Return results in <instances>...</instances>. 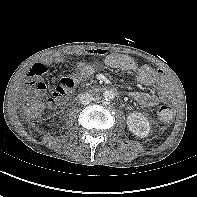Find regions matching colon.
<instances>
[{
    "instance_id": "obj_1",
    "label": "colon",
    "mask_w": 197,
    "mask_h": 197,
    "mask_svg": "<svg viewBox=\"0 0 197 197\" xmlns=\"http://www.w3.org/2000/svg\"><path fill=\"white\" fill-rule=\"evenodd\" d=\"M75 82L72 78H63L57 85L52 97L49 99V103L52 106L60 105L65 96L73 89ZM46 90V86L41 81H34L31 84V89L26 95L23 103V108L26 114L35 118L42 108V95ZM159 118L164 122H170L173 119L174 111L170 106L163 105L158 110Z\"/></svg>"
}]
</instances>
